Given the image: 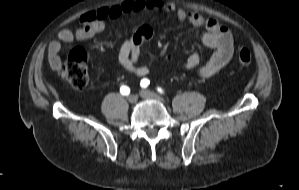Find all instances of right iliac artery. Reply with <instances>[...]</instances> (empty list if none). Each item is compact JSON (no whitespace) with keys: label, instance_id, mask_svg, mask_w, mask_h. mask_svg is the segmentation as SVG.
I'll list each match as a JSON object with an SVG mask.
<instances>
[{"label":"right iliac artery","instance_id":"1","mask_svg":"<svg viewBox=\"0 0 299 190\" xmlns=\"http://www.w3.org/2000/svg\"><path fill=\"white\" fill-rule=\"evenodd\" d=\"M120 92L122 95H128L130 93V89H129V87L124 85V86H121Z\"/></svg>","mask_w":299,"mask_h":190}]
</instances>
